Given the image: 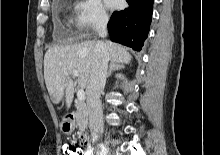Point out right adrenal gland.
Masks as SVG:
<instances>
[{
    "label": "right adrenal gland",
    "mask_w": 220,
    "mask_h": 155,
    "mask_svg": "<svg viewBox=\"0 0 220 155\" xmlns=\"http://www.w3.org/2000/svg\"><path fill=\"white\" fill-rule=\"evenodd\" d=\"M123 68H124L123 64L118 63V62H111L110 66H109L108 73H107V78L111 75L112 71L123 69Z\"/></svg>",
    "instance_id": "obj_1"
}]
</instances>
